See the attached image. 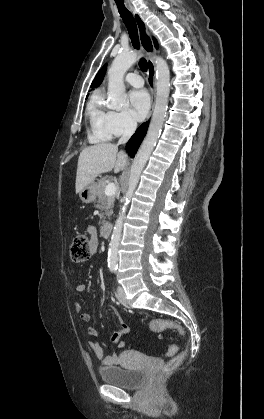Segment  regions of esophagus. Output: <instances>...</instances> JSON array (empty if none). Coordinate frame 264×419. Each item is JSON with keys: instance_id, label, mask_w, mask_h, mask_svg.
<instances>
[{"instance_id": "34e87169", "label": "esophagus", "mask_w": 264, "mask_h": 419, "mask_svg": "<svg viewBox=\"0 0 264 419\" xmlns=\"http://www.w3.org/2000/svg\"><path fill=\"white\" fill-rule=\"evenodd\" d=\"M134 20L136 22L138 33L140 37L141 46L146 54L147 65H148V75H149V87L152 95V109L148 120L152 114L154 103H155V90H156V68L153 61V55L155 53V47L149 33L148 27L141 17V15L133 8L130 7Z\"/></svg>"}]
</instances>
